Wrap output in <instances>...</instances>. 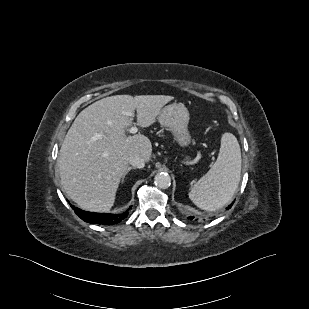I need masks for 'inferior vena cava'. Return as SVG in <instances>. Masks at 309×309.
Segmentation results:
<instances>
[{
	"instance_id": "1",
	"label": "inferior vena cava",
	"mask_w": 309,
	"mask_h": 309,
	"mask_svg": "<svg viewBox=\"0 0 309 309\" xmlns=\"http://www.w3.org/2000/svg\"><path fill=\"white\" fill-rule=\"evenodd\" d=\"M129 164L140 169L145 166V159L139 154H135L129 158Z\"/></svg>"
}]
</instances>
